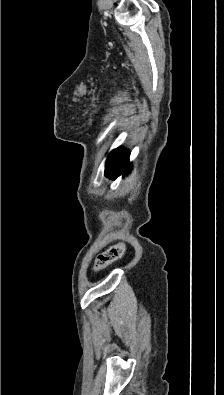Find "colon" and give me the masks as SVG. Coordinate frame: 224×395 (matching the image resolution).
I'll use <instances>...</instances> for the list:
<instances>
[{
  "label": "colon",
  "mask_w": 224,
  "mask_h": 395,
  "mask_svg": "<svg viewBox=\"0 0 224 395\" xmlns=\"http://www.w3.org/2000/svg\"><path fill=\"white\" fill-rule=\"evenodd\" d=\"M124 252L125 244L118 243L99 253L94 262V272L97 273L104 270L112 263L119 260L124 255Z\"/></svg>",
  "instance_id": "1"
}]
</instances>
